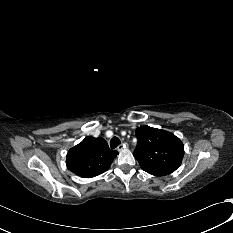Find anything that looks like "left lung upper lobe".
I'll use <instances>...</instances> for the list:
<instances>
[{
    "label": "left lung upper lobe",
    "instance_id": "5c2ea615",
    "mask_svg": "<svg viewBox=\"0 0 233 233\" xmlns=\"http://www.w3.org/2000/svg\"><path fill=\"white\" fill-rule=\"evenodd\" d=\"M136 137L138 143L133 155L147 173L165 176L181 165L184 146L171 132L141 126L136 129Z\"/></svg>",
    "mask_w": 233,
    "mask_h": 233
}]
</instances>
